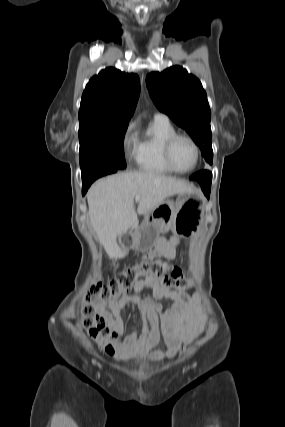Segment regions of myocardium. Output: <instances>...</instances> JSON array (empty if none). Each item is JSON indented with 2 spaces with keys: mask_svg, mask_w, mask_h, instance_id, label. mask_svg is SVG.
Here are the masks:
<instances>
[{
  "mask_svg": "<svg viewBox=\"0 0 285 427\" xmlns=\"http://www.w3.org/2000/svg\"><path fill=\"white\" fill-rule=\"evenodd\" d=\"M178 139H186V140H188L192 144V146H193V148L195 150V161H194V164L188 170H179L174 165L173 160H172V149H173V146H174L175 142ZM163 156H164V160H165L166 165L173 172L178 173V174H188V173L193 172L196 169V167L198 166V163H199V160H200V148H199V145L197 144V142L190 135L185 134V133H175V134L171 135L166 140V142L164 144V148H163Z\"/></svg>",
  "mask_w": 285,
  "mask_h": 427,
  "instance_id": "f54148a6",
  "label": "myocardium"
}]
</instances>
